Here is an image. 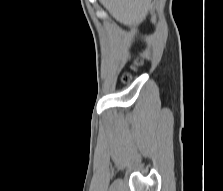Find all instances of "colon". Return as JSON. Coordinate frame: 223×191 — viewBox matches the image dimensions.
Segmentation results:
<instances>
[{
    "instance_id": "1",
    "label": "colon",
    "mask_w": 223,
    "mask_h": 191,
    "mask_svg": "<svg viewBox=\"0 0 223 191\" xmlns=\"http://www.w3.org/2000/svg\"><path fill=\"white\" fill-rule=\"evenodd\" d=\"M141 64H142V62L137 60V61L133 62L132 68L133 69H137V68H139L141 66ZM131 81H132V76H131L130 73L125 72V73L122 74V76H121V83L123 85L130 84Z\"/></svg>"
}]
</instances>
